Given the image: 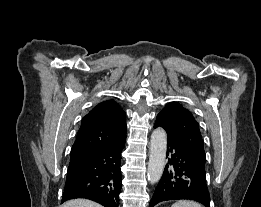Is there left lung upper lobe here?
<instances>
[{
  "label": "left lung upper lobe",
  "mask_w": 261,
  "mask_h": 207,
  "mask_svg": "<svg viewBox=\"0 0 261 207\" xmlns=\"http://www.w3.org/2000/svg\"><path fill=\"white\" fill-rule=\"evenodd\" d=\"M155 125L167 132L168 139L205 164L206 156L199 125L188 109L177 102H171L157 115Z\"/></svg>",
  "instance_id": "obj_1"
}]
</instances>
